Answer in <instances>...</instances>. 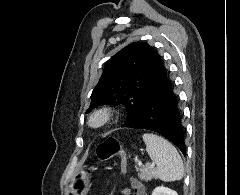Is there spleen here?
I'll use <instances>...</instances> for the list:
<instances>
[{
    "label": "spleen",
    "mask_w": 240,
    "mask_h": 195,
    "mask_svg": "<svg viewBox=\"0 0 240 195\" xmlns=\"http://www.w3.org/2000/svg\"><path fill=\"white\" fill-rule=\"evenodd\" d=\"M146 151L157 165V175L162 181H176L184 175L183 161L176 147L161 135L144 133Z\"/></svg>",
    "instance_id": "spleen-1"
}]
</instances>
